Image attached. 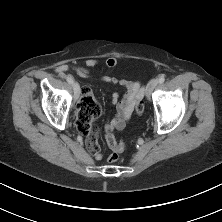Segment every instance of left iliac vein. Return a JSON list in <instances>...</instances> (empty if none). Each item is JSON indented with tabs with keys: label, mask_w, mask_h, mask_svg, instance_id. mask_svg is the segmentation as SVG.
Listing matches in <instances>:
<instances>
[{
	"label": "left iliac vein",
	"mask_w": 222,
	"mask_h": 222,
	"mask_svg": "<svg viewBox=\"0 0 222 222\" xmlns=\"http://www.w3.org/2000/svg\"><path fill=\"white\" fill-rule=\"evenodd\" d=\"M158 85V80L157 79H152L146 87V96L150 97L151 93L153 92V90L156 88V86Z\"/></svg>",
	"instance_id": "left-iliac-vein-1"
}]
</instances>
